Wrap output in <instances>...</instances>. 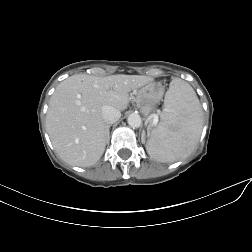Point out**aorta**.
Masks as SVG:
<instances>
[{"label": "aorta", "instance_id": "762f6f07", "mask_svg": "<svg viewBox=\"0 0 252 252\" xmlns=\"http://www.w3.org/2000/svg\"><path fill=\"white\" fill-rule=\"evenodd\" d=\"M127 122L132 128H139L142 120L139 114L132 113L128 116Z\"/></svg>", "mask_w": 252, "mask_h": 252}]
</instances>
